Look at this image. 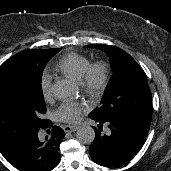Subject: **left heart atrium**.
<instances>
[{
  "label": "left heart atrium",
  "mask_w": 171,
  "mask_h": 171,
  "mask_svg": "<svg viewBox=\"0 0 171 171\" xmlns=\"http://www.w3.org/2000/svg\"><path fill=\"white\" fill-rule=\"evenodd\" d=\"M85 110L86 106L83 103L66 101L56 111L55 118L59 121L75 123L81 119Z\"/></svg>",
  "instance_id": "obj_1"
}]
</instances>
